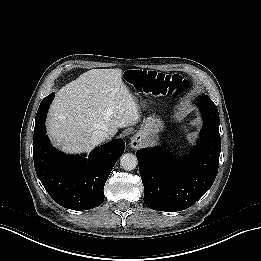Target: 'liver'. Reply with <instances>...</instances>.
Segmentation results:
<instances>
[{
	"label": "liver",
	"mask_w": 261,
	"mask_h": 261,
	"mask_svg": "<svg viewBox=\"0 0 261 261\" xmlns=\"http://www.w3.org/2000/svg\"><path fill=\"white\" fill-rule=\"evenodd\" d=\"M122 70L92 69L63 86L50 106L47 131L62 151L90 152L92 133L113 137L119 128L135 125L138 106L121 80Z\"/></svg>",
	"instance_id": "6515ba94"
}]
</instances>
